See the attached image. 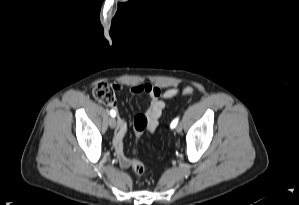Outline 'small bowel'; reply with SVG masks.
<instances>
[{"instance_id":"obj_1","label":"small bowel","mask_w":299,"mask_h":205,"mask_svg":"<svg viewBox=\"0 0 299 205\" xmlns=\"http://www.w3.org/2000/svg\"><path fill=\"white\" fill-rule=\"evenodd\" d=\"M115 88L120 89V85H115ZM179 90L178 87L161 90L159 87L151 84H138L131 87L132 93H146L149 96V105L145 114H143L147 118L148 123L146 129L149 132H154L156 130L162 112L166 107L167 100L176 96ZM126 132L127 123L124 119H120L114 134L113 145L118 163L124 169L131 166V159L124 153L123 140Z\"/></svg>"}]
</instances>
